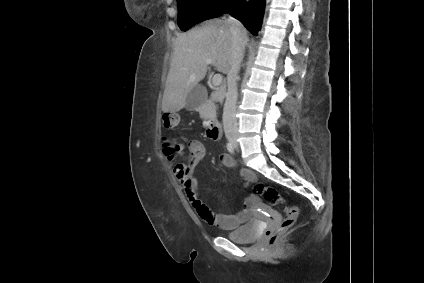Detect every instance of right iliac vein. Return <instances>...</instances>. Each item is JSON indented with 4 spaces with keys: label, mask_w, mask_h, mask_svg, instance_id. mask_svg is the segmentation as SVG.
<instances>
[{
    "label": "right iliac vein",
    "mask_w": 424,
    "mask_h": 283,
    "mask_svg": "<svg viewBox=\"0 0 424 283\" xmlns=\"http://www.w3.org/2000/svg\"><path fill=\"white\" fill-rule=\"evenodd\" d=\"M228 140L231 142V144H233V145H237V137H236V135H234V134H232V135H229L228 136Z\"/></svg>",
    "instance_id": "right-iliac-vein-1"
}]
</instances>
